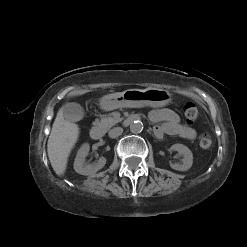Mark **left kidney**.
Here are the masks:
<instances>
[{
    "label": "left kidney",
    "mask_w": 247,
    "mask_h": 247,
    "mask_svg": "<svg viewBox=\"0 0 247 247\" xmlns=\"http://www.w3.org/2000/svg\"><path fill=\"white\" fill-rule=\"evenodd\" d=\"M171 150L178 151L183 156L182 164H170V167L178 171H187L193 164V154L191 150L183 144H174L170 148Z\"/></svg>",
    "instance_id": "5707ae66"
}]
</instances>
